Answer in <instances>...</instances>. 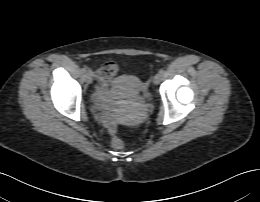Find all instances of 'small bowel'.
<instances>
[{"mask_svg":"<svg viewBox=\"0 0 260 202\" xmlns=\"http://www.w3.org/2000/svg\"><path fill=\"white\" fill-rule=\"evenodd\" d=\"M109 89V82L102 81L100 87L95 92V97L100 101L97 110L100 114L102 123L109 134H114L117 128L118 119L115 118L106 99V93Z\"/></svg>","mask_w":260,"mask_h":202,"instance_id":"small-bowel-1","label":"small bowel"}]
</instances>
